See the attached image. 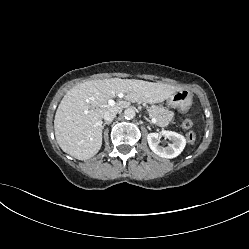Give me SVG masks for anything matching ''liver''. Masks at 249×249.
Returning <instances> with one entry per match:
<instances>
[{
	"label": "liver",
	"instance_id": "1",
	"mask_svg": "<svg viewBox=\"0 0 249 249\" xmlns=\"http://www.w3.org/2000/svg\"><path fill=\"white\" fill-rule=\"evenodd\" d=\"M178 88L161 82L110 78L78 83L63 96L54 118L55 138L61 149L79 160L93 157L102 145V118L107 110H118L127 103H159ZM125 94L126 101L113 106L108 98ZM88 113L85 114L84 111Z\"/></svg>",
	"mask_w": 249,
	"mask_h": 249
}]
</instances>
